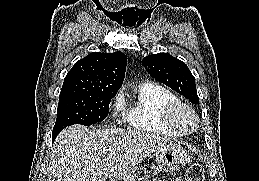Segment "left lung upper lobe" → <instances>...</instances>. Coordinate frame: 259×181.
Here are the masks:
<instances>
[{
    "label": "left lung upper lobe",
    "instance_id": "left-lung-upper-lobe-1",
    "mask_svg": "<svg viewBox=\"0 0 259 181\" xmlns=\"http://www.w3.org/2000/svg\"><path fill=\"white\" fill-rule=\"evenodd\" d=\"M142 63L153 78L182 94L192 103H199L195 78L184 62L168 53H158L143 58Z\"/></svg>",
    "mask_w": 259,
    "mask_h": 181
}]
</instances>
